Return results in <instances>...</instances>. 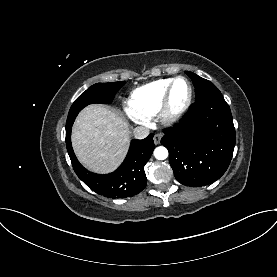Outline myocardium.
<instances>
[{
	"label": "myocardium",
	"instance_id": "obj_1",
	"mask_svg": "<svg viewBox=\"0 0 277 277\" xmlns=\"http://www.w3.org/2000/svg\"><path fill=\"white\" fill-rule=\"evenodd\" d=\"M180 80L187 83L188 96L186 101L183 103V105L180 108L173 110L171 107L172 93L176 83ZM192 100H193V86L190 80L184 76H178L174 78L164 93L163 99L161 101L160 107L157 112L158 118L162 123L167 125L178 122L190 108L192 104Z\"/></svg>",
	"mask_w": 277,
	"mask_h": 277
}]
</instances>
